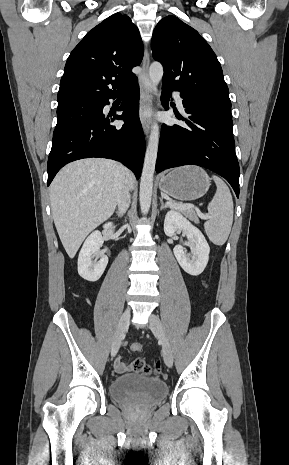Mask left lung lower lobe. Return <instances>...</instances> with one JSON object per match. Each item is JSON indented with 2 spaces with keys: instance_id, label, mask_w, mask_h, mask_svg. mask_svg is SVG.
<instances>
[{
  "instance_id": "obj_1",
  "label": "left lung lower lobe",
  "mask_w": 289,
  "mask_h": 465,
  "mask_svg": "<svg viewBox=\"0 0 289 465\" xmlns=\"http://www.w3.org/2000/svg\"><path fill=\"white\" fill-rule=\"evenodd\" d=\"M172 87L163 86L161 101L168 109ZM188 127L162 125L156 171L198 165L224 177L239 197V163L235 154L230 108L208 103L180 91Z\"/></svg>"
}]
</instances>
